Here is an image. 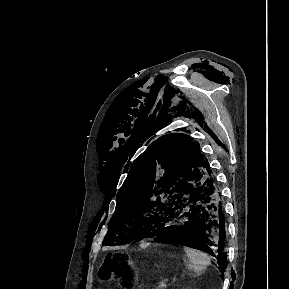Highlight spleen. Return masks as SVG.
Masks as SVG:
<instances>
[{
  "label": "spleen",
  "mask_w": 289,
  "mask_h": 289,
  "mask_svg": "<svg viewBox=\"0 0 289 289\" xmlns=\"http://www.w3.org/2000/svg\"><path fill=\"white\" fill-rule=\"evenodd\" d=\"M184 251L188 257L187 268L196 274H201L210 265V258L206 253L189 247H184Z\"/></svg>",
  "instance_id": "3e777b00"
}]
</instances>
